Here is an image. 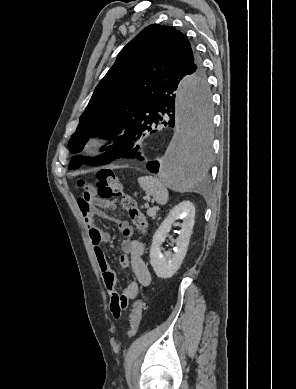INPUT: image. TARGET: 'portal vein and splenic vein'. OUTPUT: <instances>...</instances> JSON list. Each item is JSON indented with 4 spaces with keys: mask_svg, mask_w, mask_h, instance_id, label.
I'll use <instances>...</instances> for the list:
<instances>
[{
    "mask_svg": "<svg viewBox=\"0 0 296 389\" xmlns=\"http://www.w3.org/2000/svg\"><path fill=\"white\" fill-rule=\"evenodd\" d=\"M148 215H149V216H154V215H155V211L149 209V210H148Z\"/></svg>",
    "mask_w": 296,
    "mask_h": 389,
    "instance_id": "obj_1",
    "label": "portal vein and splenic vein"
}]
</instances>
